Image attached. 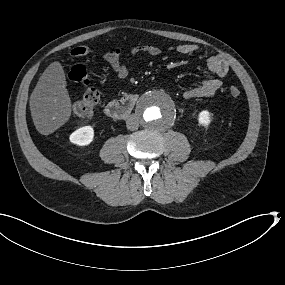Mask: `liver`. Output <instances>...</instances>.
<instances>
[{"label":"liver","mask_w":285,"mask_h":285,"mask_svg":"<svg viewBox=\"0 0 285 285\" xmlns=\"http://www.w3.org/2000/svg\"><path fill=\"white\" fill-rule=\"evenodd\" d=\"M33 124L43 136L54 133L69 121L72 101L60 61L51 62L40 76L29 100Z\"/></svg>","instance_id":"obj_1"}]
</instances>
